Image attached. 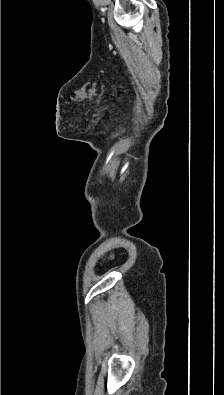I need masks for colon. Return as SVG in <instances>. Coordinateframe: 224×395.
Here are the masks:
<instances>
[{
  "mask_svg": "<svg viewBox=\"0 0 224 395\" xmlns=\"http://www.w3.org/2000/svg\"><path fill=\"white\" fill-rule=\"evenodd\" d=\"M113 256H114V254H110L108 257H109V258H112Z\"/></svg>",
  "mask_w": 224,
  "mask_h": 395,
  "instance_id": "colon-1",
  "label": "colon"
}]
</instances>
